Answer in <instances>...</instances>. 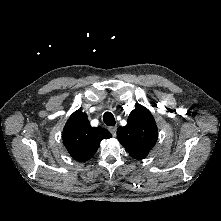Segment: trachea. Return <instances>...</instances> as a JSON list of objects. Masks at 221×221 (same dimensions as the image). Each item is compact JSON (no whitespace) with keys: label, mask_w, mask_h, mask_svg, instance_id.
<instances>
[{"label":"trachea","mask_w":221,"mask_h":221,"mask_svg":"<svg viewBox=\"0 0 221 221\" xmlns=\"http://www.w3.org/2000/svg\"><path fill=\"white\" fill-rule=\"evenodd\" d=\"M103 121L107 126H114L115 125V118L111 112L104 113Z\"/></svg>","instance_id":"1"}]
</instances>
